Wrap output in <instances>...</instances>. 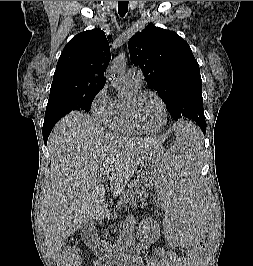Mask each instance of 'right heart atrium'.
Masks as SVG:
<instances>
[{"label":"right heart atrium","instance_id":"d8ad5b80","mask_svg":"<svg viewBox=\"0 0 253 266\" xmlns=\"http://www.w3.org/2000/svg\"><path fill=\"white\" fill-rule=\"evenodd\" d=\"M113 107L114 100L111 98L108 87L105 85L94 96L90 107L91 112L100 122L107 124Z\"/></svg>","mask_w":253,"mask_h":266}]
</instances>
